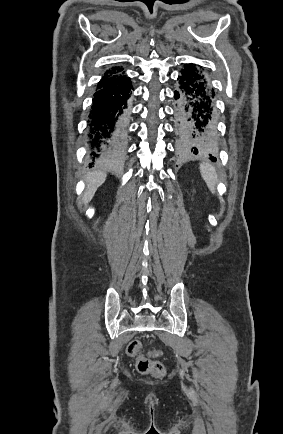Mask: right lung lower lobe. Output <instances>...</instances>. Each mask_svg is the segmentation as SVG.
Here are the masks:
<instances>
[{
  "label": "right lung lower lobe",
  "instance_id": "98d812e1",
  "mask_svg": "<svg viewBox=\"0 0 283 434\" xmlns=\"http://www.w3.org/2000/svg\"><path fill=\"white\" fill-rule=\"evenodd\" d=\"M132 89L130 78H125L118 84L99 88L94 94L88 134L93 161L111 162L120 157L126 135L127 100Z\"/></svg>",
  "mask_w": 283,
  "mask_h": 434
}]
</instances>
